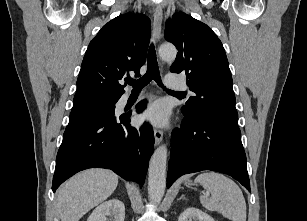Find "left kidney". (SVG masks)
I'll list each match as a JSON object with an SVG mask.
<instances>
[{
  "label": "left kidney",
  "instance_id": "left-kidney-1",
  "mask_svg": "<svg viewBox=\"0 0 307 221\" xmlns=\"http://www.w3.org/2000/svg\"><path fill=\"white\" fill-rule=\"evenodd\" d=\"M178 221H215L210 215L197 208H187L180 216Z\"/></svg>",
  "mask_w": 307,
  "mask_h": 221
}]
</instances>
